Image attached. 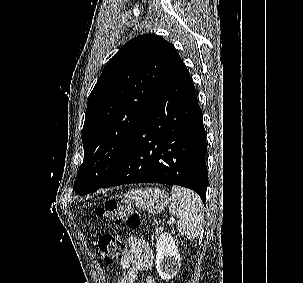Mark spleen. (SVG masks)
I'll use <instances>...</instances> for the list:
<instances>
[{
    "label": "spleen",
    "mask_w": 303,
    "mask_h": 283,
    "mask_svg": "<svg viewBox=\"0 0 303 283\" xmlns=\"http://www.w3.org/2000/svg\"><path fill=\"white\" fill-rule=\"evenodd\" d=\"M172 191L169 212L178 218V231L193 240L199 236L202 229V201L197 194L186 188L173 186Z\"/></svg>",
    "instance_id": "obj_1"
}]
</instances>
